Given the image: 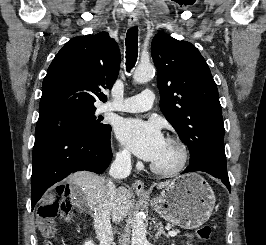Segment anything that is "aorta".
Masks as SVG:
<instances>
[{"label":"aorta","mask_w":266,"mask_h":245,"mask_svg":"<svg viewBox=\"0 0 266 245\" xmlns=\"http://www.w3.org/2000/svg\"><path fill=\"white\" fill-rule=\"evenodd\" d=\"M155 74V68L153 64H138L133 78L135 82H148ZM132 227V239L131 245H147L146 233L147 225L145 223L144 213L136 211L133 215Z\"/></svg>","instance_id":"obj_1"}]
</instances>
